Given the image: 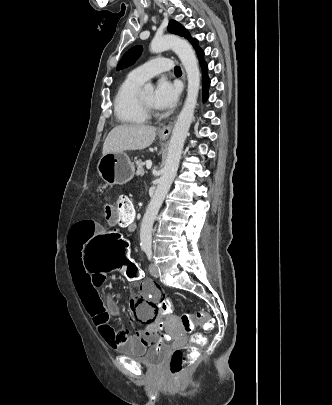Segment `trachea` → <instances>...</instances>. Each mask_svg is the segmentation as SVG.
Returning a JSON list of instances; mask_svg holds the SVG:
<instances>
[{"label":"trachea","mask_w":332,"mask_h":405,"mask_svg":"<svg viewBox=\"0 0 332 405\" xmlns=\"http://www.w3.org/2000/svg\"><path fill=\"white\" fill-rule=\"evenodd\" d=\"M174 72H175V74H181V69H180V67L176 66V67L174 68Z\"/></svg>","instance_id":"3493384b"}]
</instances>
